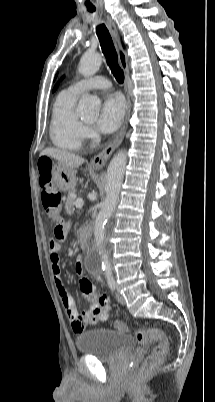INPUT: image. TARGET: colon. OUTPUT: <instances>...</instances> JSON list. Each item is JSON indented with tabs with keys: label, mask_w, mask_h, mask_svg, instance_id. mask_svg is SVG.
Instances as JSON below:
<instances>
[{
	"label": "colon",
	"mask_w": 215,
	"mask_h": 402,
	"mask_svg": "<svg viewBox=\"0 0 215 402\" xmlns=\"http://www.w3.org/2000/svg\"><path fill=\"white\" fill-rule=\"evenodd\" d=\"M39 186L41 188V200L50 220L60 222L61 195L57 192L51 181V169L53 161L51 156H38ZM117 327L124 330L126 327L117 322ZM136 340L141 345L156 343L152 352L145 358L140 375L145 376L160 365L169 350V344L164 332L159 328L139 329L135 334Z\"/></svg>",
	"instance_id": "colon-1"
}]
</instances>
